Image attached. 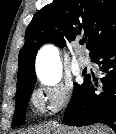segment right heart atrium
<instances>
[{"label":"right heart atrium","instance_id":"d8ad5b80","mask_svg":"<svg viewBox=\"0 0 116 134\" xmlns=\"http://www.w3.org/2000/svg\"><path fill=\"white\" fill-rule=\"evenodd\" d=\"M73 88L69 82L43 86L34 93V102L49 114L64 110L70 103Z\"/></svg>","mask_w":116,"mask_h":134}]
</instances>
